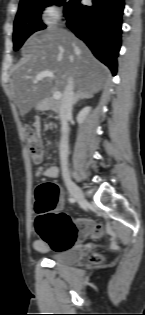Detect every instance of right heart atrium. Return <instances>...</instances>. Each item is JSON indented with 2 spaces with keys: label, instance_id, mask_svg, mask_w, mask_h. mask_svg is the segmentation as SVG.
Returning a JSON list of instances; mask_svg holds the SVG:
<instances>
[{
  "label": "right heart atrium",
  "instance_id": "d8ad5b80",
  "mask_svg": "<svg viewBox=\"0 0 145 315\" xmlns=\"http://www.w3.org/2000/svg\"><path fill=\"white\" fill-rule=\"evenodd\" d=\"M63 15L60 5L56 1L43 4L39 12V22L47 27H55L62 22Z\"/></svg>",
  "mask_w": 145,
  "mask_h": 315
}]
</instances>
